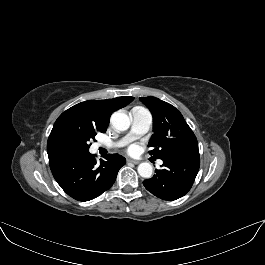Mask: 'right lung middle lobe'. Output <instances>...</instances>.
Wrapping results in <instances>:
<instances>
[{
    "instance_id": "1",
    "label": "right lung middle lobe",
    "mask_w": 265,
    "mask_h": 265,
    "mask_svg": "<svg viewBox=\"0 0 265 265\" xmlns=\"http://www.w3.org/2000/svg\"><path fill=\"white\" fill-rule=\"evenodd\" d=\"M96 133L87 128H67L58 134L57 145L68 156L86 154L89 153V141Z\"/></svg>"
}]
</instances>
